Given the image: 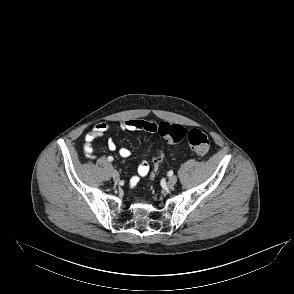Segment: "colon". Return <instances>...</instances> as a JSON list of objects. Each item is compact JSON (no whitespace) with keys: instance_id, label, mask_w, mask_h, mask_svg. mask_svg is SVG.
I'll list each match as a JSON object with an SVG mask.
<instances>
[{"instance_id":"1","label":"colon","mask_w":294,"mask_h":294,"mask_svg":"<svg viewBox=\"0 0 294 294\" xmlns=\"http://www.w3.org/2000/svg\"><path fill=\"white\" fill-rule=\"evenodd\" d=\"M145 130L150 133H156L170 143H179L186 139L193 152L200 156L206 155L210 150V141L208 136L199 129H186L177 124L161 122L159 124L148 122ZM159 159L153 156L151 160V176L154 177L158 171Z\"/></svg>"}]
</instances>
